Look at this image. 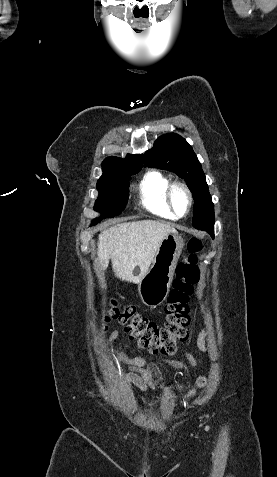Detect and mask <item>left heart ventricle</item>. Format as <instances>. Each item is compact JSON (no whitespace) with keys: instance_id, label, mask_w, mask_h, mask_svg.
Segmentation results:
<instances>
[{"instance_id":"b2bd125f","label":"left heart ventricle","mask_w":277,"mask_h":477,"mask_svg":"<svg viewBox=\"0 0 277 477\" xmlns=\"http://www.w3.org/2000/svg\"><path fill=\"white\" fill-rule=\"evenodd\" d=\"M173 202L178 213L183 214L188 207V199L185 192L178 188L173 193Z\"/></svg>"}]
</instances>
